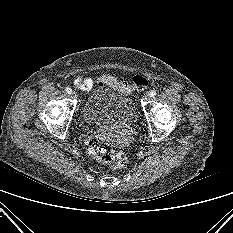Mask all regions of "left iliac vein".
<instances>
[{
  "label": "left iliac vein",
  "instance_id": "left-iliac-vein-1",
  "mask_svg": "<svg viewBox=\"0 0 233 233\" xmlns=\"http://www.w3.org/2000/svg\"><path fill=\"white\" fill-rule=\"evenodd\" d=\"M149 99H150L149 93L144 94V96L142 97V100L145 102L148 101Z\"/></svg>",
  "mask_w": 233,
  "mask_h": 233
}]
</instances>
